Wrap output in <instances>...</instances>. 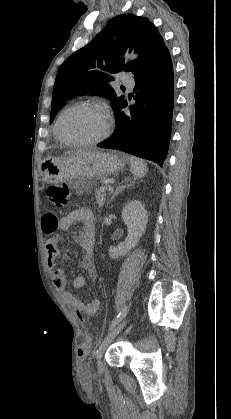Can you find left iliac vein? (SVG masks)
I'll return each mask as SVG.
<instances>
[{"instance_id":"left-iliac-vein-1","label":"left iliac vein","mask_w":231,"mask_h":419,"mask_svg":"<svg viewBox=\"0 0 231 419\" xmlns=\"http://www.w3.org/2000/svg\"><path fill=\"white\" fill-rule=\"evenodd\" d=\"M128 323V320L125 319L121 323H119L117 326H115L104 338L98 353L96 354L97 362H98V369L99 371H102V362L101 358L103 356V353L105 352L108 345L114 340V338L126 327Z\"/></svg>"}]
</instances>
